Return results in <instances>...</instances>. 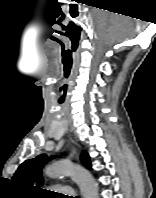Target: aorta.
I'll use <instances>...</instances> for the list:
<instances>
[{"label": "aorta", "instance_id": "obj_1", "mask_svg": "<svg viewBox=\"0 0 156 198\" xmlns=\"http://www.w3.org/2000/svg\"><path fill=\"white\" fill-rule=\"evenodd\" d=\"M45 174L50 178L72 176L79 185L83 198H98V186L93 176L82 167L59 162L48 166L45 169Z\"/></svg>", "mask_w": 156, "mask_h": 198}]
</instances>
